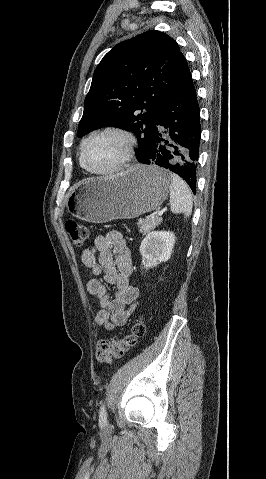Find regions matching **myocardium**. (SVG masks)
I'll return each instance as SVG.
<instances>
[{"mask_svg":"<svg viewBox=\"0 0 266 479\" xmlns=\"http://www.w3.org/2000/svg\"><path fill=\"white\" fill-rule=\"evenodd\" d=\"M105 134H116V135H119V136L123 137L126 141V148H125V152H124L123 157L121 158V160L119 161V163L116 166H114L113 168L108 169V170L99 171V170H95V169L91 168L88 165V163H87V151H88L89 146L91 145V143L94 139H96L99 136L105 135ZM135 145H136V138H135L134 134L132 132H130L129 130H126V129L121 128V127H115V126L106 127V128H103L101 130H98V131L94 132L86 140V142L84 143V146L82 148L81 159H82L84 167L90 173L95 174V175H102V176L110 175V174H113V173H116V172L120 171L121 169H123L128 164V162L130 161V159L132 158V155L134 153Z\"/></svg>","mask_w":266,"mask_h":479,"instance_id":"1","label":"myocardium"}]
</instances>
